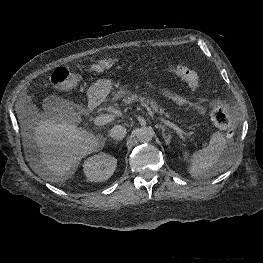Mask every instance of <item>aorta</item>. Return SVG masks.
<instances>
[{
    "label": "aorta",
    "mask_w": 263,
    "mask_h": 263,
    "mask_svg": "<svg viewBox=\"0 0 263 263\" xmlns=\"http://www.w3.org/2000/svg\"><path fill=\"white\" fill-rule=\"evenodd\" d=\"M153 136H154V132L150 128L141 127L137 129L136 137L141 143L150 142Z\"/></svg>",
    "instance_id": "obj_1"
}]
</instances>
